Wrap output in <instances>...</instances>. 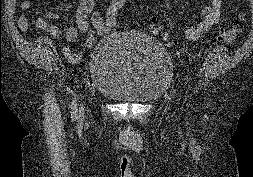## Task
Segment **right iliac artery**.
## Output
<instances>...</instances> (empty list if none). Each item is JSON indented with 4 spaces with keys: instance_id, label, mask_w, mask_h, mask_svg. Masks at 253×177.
<instances>
[{
    "instance_id": "82829eb1",
    "label": "right iliac artery",
    "mask_w": 253,
    "mask_h": 177,
    "mask_svg": "<svg viewBox=\"0 0 253 177\" xmlns=\"http://www.w3.org/2000/svg\"><path fill=\"white\" fill-rule=\"evenodd\" d=\"M77 99V96L74 95V98L72 100V104H71V109H72V113L73 114H76V111H77V103H76V100Z\"/></svg>"
}]
</instances>
